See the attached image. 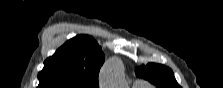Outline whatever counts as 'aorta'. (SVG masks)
<instances>
[{"label":"aorta","mask_w":223,"mask_h":88,"mask_svg":"<svg viewBox=\"0 0 223 88\" xmlns=\"http://www.w3.org/2000/svg\"><path fill=\"white\" fill-rule=\"evenodd\" d=\"M101 88H124L123 63L118 57L106 61L100 72Z\"/></svg>","instance_id":"aorta-1"}]
</instances>
